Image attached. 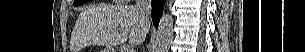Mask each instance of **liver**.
Here are the masks:
<instances>
[{
    "label": "liver",
    "instance_id": "obj_1",
    "mask_svg": "<svg viewBox=\"0 0 305 52\" xmlns=\"http://www.w3.org/2000/svg\"><path fill=\"white\" fill-rule=\"evenodd\" d=\"M77 23L86 41L107 47L128 39L130 44H140L150 28L135 6L121 4L89 7L80 14Z\"/></svg>",
    "mask_w": 305,
    "mask_h": 52
}]
</instances>
